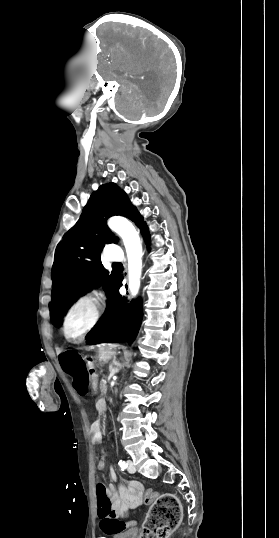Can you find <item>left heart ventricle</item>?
Returning a JSON list of instances; mask_svg holds the SVG:
<instances>
[{
  "label": "left heart ventricle",
  "mask_w": 279,
  "mask_h": 538,
  "mask_svg": "<svg viewBox=\"0 0 279 538\" xmlns=\"http://www.w3.org/2000/svg\"><path fill=\"white\" fill-rule=\"evenodd\" d=\"M91 313V308L88 306L78 309L70 321L68 328L69 334L75 335L79 333L89 322Z\"/></svg>",
  "instance_id": "b2bd125f"
}]
</instances>
